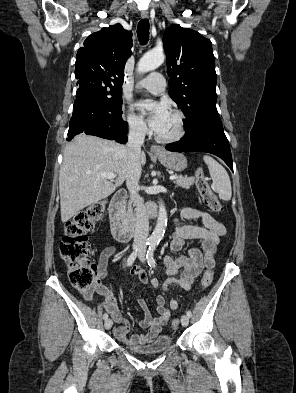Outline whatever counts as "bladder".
I'll return each instance as SVG.
<instances>
[{"instance_id": "31cf9c89", "label": "bladder", "mask_w": 296, "mask_h": 393, "mask_svg": "<svg viewBox=\"0 0 296 393\" xmlns=\"http://www.w3.org/2000/svg\"><path fill=\"white\" fill-rule=\"evenodd\" d=\"M172 345V337L168 335H158L149 344L141 348L126 347L130 352L140 355H151L161 353Z\"/></svg>"}]
</instances>
